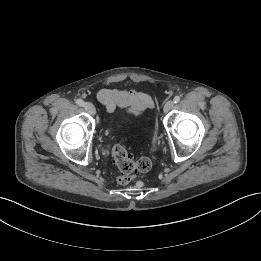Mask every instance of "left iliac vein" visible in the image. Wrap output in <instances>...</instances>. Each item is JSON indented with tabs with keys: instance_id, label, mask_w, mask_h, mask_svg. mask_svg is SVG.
<instances>
[{
	"instance_id": "obj_1",
	"label": "left iliac vein",
	"mask_w": 261,
	"mask_h": 261,
	"mask_svg": "<svg viewBox=\"0 0 261 261\" xmlns=\"http://www.w3.org/2000/svg\"><path fill=\"white\" fill-rule=\"evenodd\" d=\"M174 107V102L172 100H169L164 105V112H169Z\"/></svg>"
}]
</instances>
